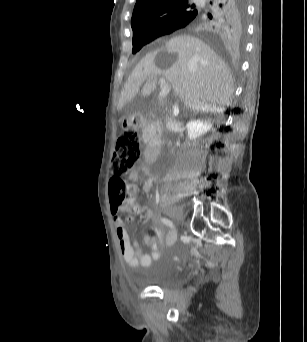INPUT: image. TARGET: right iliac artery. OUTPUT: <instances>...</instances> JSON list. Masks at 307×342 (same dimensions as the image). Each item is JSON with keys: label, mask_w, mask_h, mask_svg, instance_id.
Returning a JSON list of instances; mask_svg holds the SVG:
<instances>
[{"label": "right iliac artery", "mask_w": 307, "mask_h": 342, "mask_svg": "<svg viewBox=\"0 0 307 342\" xmlns=\"http://www.w3.org/2000/svg\"><path fill=\"white\" fill-rule=\"evenodd\" d=\"M161 221L164 223V224H166L168 227H170L171 229H173V223L169 220V219H167V218H161Z\"/></svg>", "instance_id": "1"}]
</instances>
